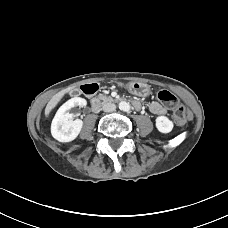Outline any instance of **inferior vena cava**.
I'll use <instances>...</instances> for the list:
<instances>
[{"label": "inferior vena cava", "mask_w": 228, "mask_h": 228, "mask_svg": "<svg viewBox=\"0 0 228 228\" xmlns=\"http://www.w3.org/2000/svg\"><path fill=\"white\" fill-rule=\"evenodd\" d=\"M115 109H116V105L114 103H110V102L105 103L102 106V110L104 112H113V111H115Z\"/></svg>", "instance_id": "1"}]
</instances>
